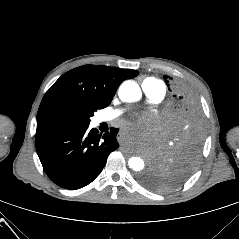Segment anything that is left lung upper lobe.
Here are the masks:
<instances>
[{
    "label": "left lung upper lobe",
    "mask_w": 239,
    "mask_h": 239,
    "mask_svg": "<svg viewBox=\"0 0 239 239\" xmlns=\"http://www.w3.org/2000/svg\"><path fill=\"white\" fill-rule=\"evenodd\" d=\"M170 91L169 136L141 182L159 192L182 184L195 169L203 148L204 122L198 98L186 83L164 75Z\"/></svg>",
    "instance_id": "1"
}]
</instances>
